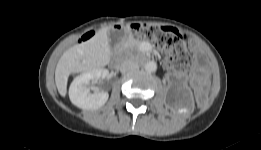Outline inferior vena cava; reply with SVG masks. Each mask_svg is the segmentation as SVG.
<instances>
[{
	"label": "inferior vena cava",
	"instance_id": "1",
	"mask_svg": "<svg viewBox=\"0 0 261 150\" xmlns=\"http://www.w3.org/2000/svg\"><path fill=\"white\" fill-rule=\"evenodd\" d=\"M138 68V64L132 60H126L120 65L121 73H128Z\"/></svg>",
	"mask_w": 261,
	"mask_h": 150
}]
</instances>
